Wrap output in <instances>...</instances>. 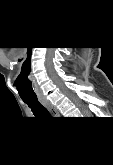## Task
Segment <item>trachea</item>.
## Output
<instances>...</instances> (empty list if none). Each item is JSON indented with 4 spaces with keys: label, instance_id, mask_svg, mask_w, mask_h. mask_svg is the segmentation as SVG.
Segmentation results:
<instances>
[{
    "label": "trachea",
    "instance_id": "1",
    "mask_svg": "<svg viewBox=\"0 0 113 165\" xmlns=\"http://www.w3.org/2000/svg\"><path fill=\"white\" fill-rule=\"evenodd\" d=\"M38 117H51L48 110L38 100H23Z\"/></svg>",
    "mask_w": 113,
    "mask_h": 165
}]
</instances>
